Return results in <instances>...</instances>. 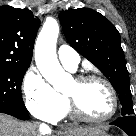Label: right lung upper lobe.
<instances>
[{
  "mask_svg": "<svg viewBox=\"0 0 136 136\" xmlns=\"http://www.w3.org/2000/svg\"><path fill=\"white\" fill-rule=\"evenodd\" d=\"M39 26L28 9L0 7V66L29 67Z\"/></svg>",
  "mask_w": 136,
  "mask_h": 136,
  "instance_id": "right-lung-upper-lobe-1",
  "label": "right lung upper lobe"
}]
</instances>
